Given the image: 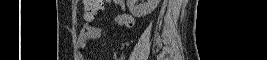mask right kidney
Segmentation results:
<instances>
[{"instance_id":"1","label":"right kidney","mask_w":267,"mask_h":60,"mask_svg":"<svg viewBox=\"0 0 267 60\" xmlns=\"http://www.w3.org/2000/svg\"><path fill=\"white\" fill-rule=\"evenodd\" d=\"M142 3H139V0H127V6L129 11L134 17H143L147 14H150L158 6L160 0H141Z\"/></svg>"}]
</instances>
